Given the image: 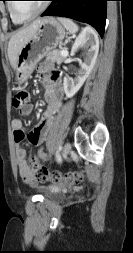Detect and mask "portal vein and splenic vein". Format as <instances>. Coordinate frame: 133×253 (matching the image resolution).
Returning <instances> with one entry per match:
<instances>
[{"label": "portal vein and splenic vein", "instance_id": "obj_1", "mask_svg": "<svg viewBox=\"0 0 133 253\" xmlns=\"http://www.w3.org/2000/svg\"><path fill=\"white\" fill-rule=\"evenodd\" d=\"M61 55L63 56H67L68 55V51L67 50H61Z\"/></svg>", "mask_w": 133, "mask_h": 253}]
</instances>
